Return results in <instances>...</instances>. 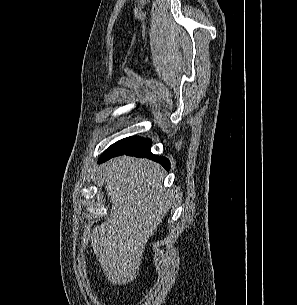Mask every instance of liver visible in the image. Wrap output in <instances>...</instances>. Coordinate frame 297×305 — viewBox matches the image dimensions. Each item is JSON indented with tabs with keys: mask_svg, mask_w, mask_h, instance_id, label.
<instances>
[{
	"mask_svg": "<svg viewBox=\"0 0 297 305\" xmlns=\"http://www.w3.org/2000/svg\"><path fill=\"white\" fill-rule=\"evenodd\" d=\"M102 167L112 210L94 228L91 246L107 280L124 285L136 279L145 245L170 209V195L156 162L121 156Z\"/></svg>",
	"mask_w": 297,
	"mask_h": 305,
	"instance_id": "liver-1",
	"label": "liver"
}]
</instances>
